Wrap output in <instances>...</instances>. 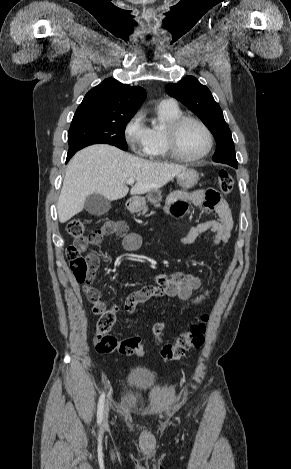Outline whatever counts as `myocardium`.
Here are the masks:
<instances>
[{
  "mask_svg": "<svg viewBox=\"0 0 291 469\" xmlns=\"http://www.w3.org/2000/svg\"><path fill=\"white\" fill-rule=\"evenodd\" d=\"M187 122H194L199 125L202 130L204 131L206 138H207V145L205 150L196 157H185L183 156L177 146V137L179 130L181 127ZM165 144L169 156L177 161L185 162V163H196L204 158H206L213 148L214 138L211 130L209 127L199 118L191 115H181L178 118L174 119L170 122L165 128Z\"/></svg>",
  "mask_w": 291,
  "mask_h": 469,
  "instance_id": "1",
  "label": "myocardium"
}]
</instances>
